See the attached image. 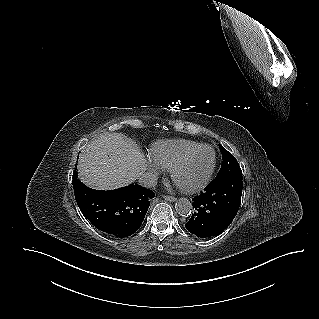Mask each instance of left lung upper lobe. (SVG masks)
I'll use <instances>...</instances> for the list:
<instances>
[{
	"label": "left lung upper lobe",
	"instance_id": "1",
	"mask_svg": "<svg viewBox=\"0 0 319 319\" xmlns=\"http://www.w3.org/2000/svg\"><path fill=\"white\" fill-rule=\"evenodd\" d=\"M219 148L222 154L223 162L216 178L212 182L219 181L230 175H242L241 168L236 158L221 144H219Z\"/></svg>",
	"mask_w": 319,
	"mask_h": 319
}]
</instances>
